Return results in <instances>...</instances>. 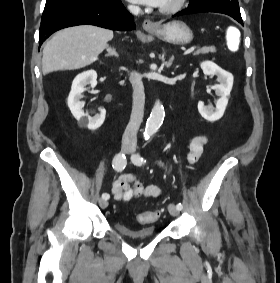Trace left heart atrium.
Instances as JSON below:
<instances>
[{"label": "left heart atrium", "instance_id": "left-heart-atrium-1", "mask_svg": "<svg viewBox=\"0 0 280 283\" xmlns=\"http://www.w3.org/2000/svg\"><path fill=\"white\" fill-rule=\"evenodd\" d=\"M133 3L144 4L154 7H160L164 3L165 0H129Z\"/></svg>", "mask_w": 280, "mask_h": 283}]
</instances>
